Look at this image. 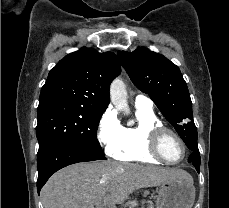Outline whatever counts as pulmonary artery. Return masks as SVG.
<instances>
[{"label":"pulmonary artery","mask_w":229,"mask_h":208,"mask_svg":"<svg viewBox=\"0 0 229 208\" xmlns=\"http://www.w3.org/2000/svg\"><path fill=\"white\" fill-rule=\"evenodd\" d=\"M135 105L137 107L153 109L152 101L148 97H146L144 95H139V96L136 97Z\"/></svg>","instance_id":"pulmonary-artery-1"}]
</instances>
